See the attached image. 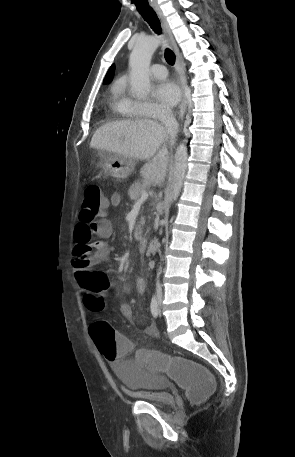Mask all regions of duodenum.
Wrapping results in <instances>:
<instances>
[{
    "instance_id": "obj_1",
    "label": "duodenum",
    "mask_w": 295,
    "mask_h": 457,
    "mask_svg": "<svg viewBox=\"0 0 295 457\" xmlns=\"http://www.w3.org/2000/svg\"><path fill=\"white\" fill-rule=\"evenodd\" d=\"M147 247H148V240L146 238H141L139 240V250L144 253L147 250Z\"/></svg>"
}]
</instances>
